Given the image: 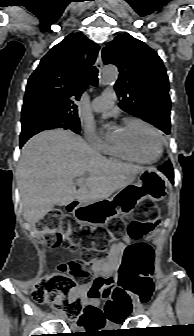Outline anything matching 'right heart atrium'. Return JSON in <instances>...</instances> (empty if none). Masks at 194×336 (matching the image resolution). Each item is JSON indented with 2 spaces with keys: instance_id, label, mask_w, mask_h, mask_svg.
<instances>
[{
  "instance_id": "1",
  "label": "right heart atrium",
  "mask_w": 194,
  "mask_h": 336,
  "mask_svg": "<svg viewBox=\"0 0 194 336\" xmlns=\"http://www.w3.org/2000/svg\"><path fill=\"white\" fill-rule=\"evenodd\" d=\"M85 138L90 147L96 151L105 153L109 144L103 140L91 126H86L84 129Z\"/></svg>"
}]
</instances>
